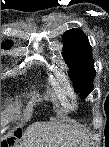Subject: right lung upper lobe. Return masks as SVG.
<instances>
[{
    "instance_id": "cb5924a9",
    "label": "right lung upper lobe",
    "mask_w": 109,
    "mask_h": 147,
    "mask_svg": "<svg viewBox=\"0 0 109 147\" xmlns=\"http://www.w3.org/2000/svg\"><path fill=\"white\" fill-rule=\"evenodd\" d=\"M12 44H13V43H12L11 41L7 40V41H5V43H3L2 46H3V47H6V48L8 49V48H10V47L12 46Z\"/></svg>"
}]
</instances>
